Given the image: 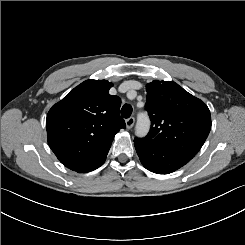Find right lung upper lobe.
Instances as JSON below:
<instances>
[{
    "instance_id": "obj_1",
    "label": "right lung upper lobe",
    "mask_w": 245,
    "mask_h": 245,
    "mask_svg": "<svg viewBox=\"0 0 245 245\" xmlns=\"http://www.w3.org/2000/svg\"><path fill=\"white\" fill-rule=\"evenodd\" d=\"M107 80H86L48 112V143L59 161L78 173L100 167L115 134L125 128L121 100L109 94Z\"/></svg>"
}]
</instances>
